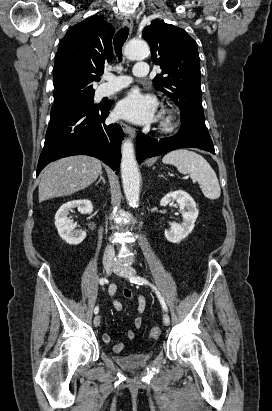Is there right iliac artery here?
I'll return each instance as SVG.
<instances>
[{"label": "right iliac artery", "mask_w": 272, "mask_h": 411, "mask_svg": "<svg viewBox=\"0 0 272 411\" xmlns=\"http://www.w3.org/2000/svg\"><path fill=\"white\" fill-rule=\"evenodd\" d=\"M99 283H100L101 285H104V284L106 283V279H105V278H101L100 281H99ZM98 312H99V307L96 306L95 309H94V313L97 314Z\"/></svg>", "instance_id": "right-iliac-artery-1"}]
</instances>
